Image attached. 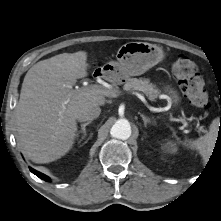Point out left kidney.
I'll use <instances>...</instances> for the list:
<instances>
[{
	"label": "left kidney",
	"mask_w": 221,
	"mask_h": 221,
	"mask_svg": "<svg viewBox=\"0 0 221 221\" xmlns=\"http://www.w3.org/2000/svg\"><path fill=\"white\" fill-rule=\"evenodd\" d=\"M162 149L166 152V153H176L177 152V147L176 144L172 141H167L166 143L163 144Z\"/></svg>",
	"instance_id": "obj_1"
}]
</instances>
